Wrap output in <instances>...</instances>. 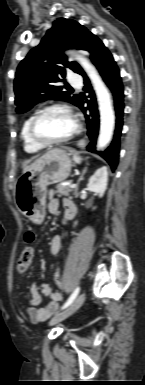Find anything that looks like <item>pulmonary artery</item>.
Masks as SVG:
<instances>
[{"label":"pulmonary artery","instance_id":"pulmonary-artery-1","mask_svg":"<svg viewBox=\"0 0 145 385\" xmlns=\"http://www.w3.org/2000/svg\"><path fill=\"white\" fill-rule=\"evenodd\" d=\"M69 83L73 86L79 87L81 85V78L78 75H71L69 77Z\"/></svg>","mask_w":145,"mask_h":385}]
</instances>
